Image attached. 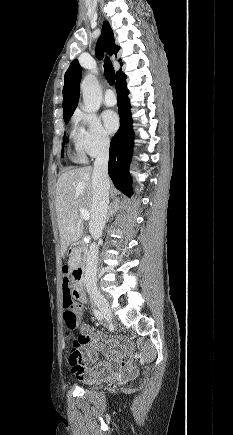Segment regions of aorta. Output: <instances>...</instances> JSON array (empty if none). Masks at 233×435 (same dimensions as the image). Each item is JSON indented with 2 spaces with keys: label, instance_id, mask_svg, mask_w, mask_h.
<instances>
[{
  "label": "aorta",
  "instance_id": "obj_1",
  "mask_svg": "<svg viewBox=\"0 0 233 435\" xmlns=\"http://www.w3.org/2000/svg\"><path fill=\"white\" fill-rule=\"evenodd\" d=\"M83 97V110L87 113L95 112L99 109L102 92L97 78L92 74H87L81 83Z\"/></svg>",
  "mask_w": 233,
  "mask_h": 435
}]
</instances>
